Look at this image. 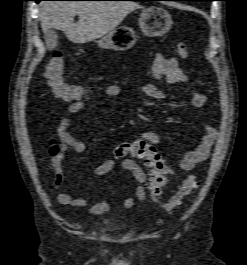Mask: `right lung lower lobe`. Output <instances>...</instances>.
<instances>
[{
    "instance_id": "98d812e1",
    "label": "right lung lower lobe",
    "mask_w": 247,
    "mask_h": 265,
    "mask_svg": "<svg viewBox=\"0 0 247 265\" xmlns=\"http://www.w3.org/2000/svg\"><path fill=\"white\" fill-rule=\"evenodd\" d=\"M34 1H36L38 3L39 1H42V0H34Z\"/></svg>"
}]
</instances>
